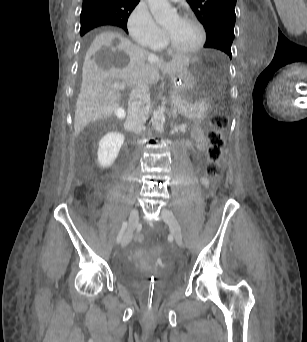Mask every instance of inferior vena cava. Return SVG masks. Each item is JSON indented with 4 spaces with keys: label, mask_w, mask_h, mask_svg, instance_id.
<instances>
[{
    "label": "inferior vena cava",
    "mask_w": 307,
    "mask_h": 342,
    "mask_svg": "<svg viewBox=\"0 0 307 342\" xmlns=\"http://www.w3.org/2000/svg\"><path fill=\"white\" fill-rule=\"evenodd\" d=\"M150 90L146 84L134 86L128 104L125 128H131L134 134H141L148 116Z\"/></svg>",
    "instance_id": "obj_1"
}]
</instances>
